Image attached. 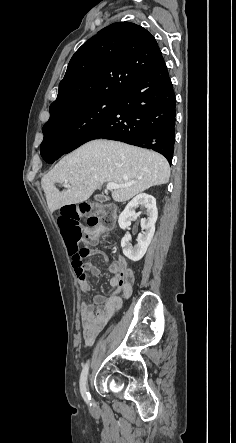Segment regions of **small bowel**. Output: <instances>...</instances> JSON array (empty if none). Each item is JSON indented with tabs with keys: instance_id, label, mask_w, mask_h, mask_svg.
Instances as JSON below:
<instances>
[{
	"instance_id": "c3829d8e",
	"label": "small bowel",
	"mask_w": 236,
	"mask_h": 443,
	"mask_svg": "<svg viewBox=\"0 0 236 443\" xmlns=\"http://www.w3.org/2000/svg\"><path fill=\"white\" fill-rule=\"evenodd\" d=\"M86 232L90 234L87 240L88 245L91 247L90 256L102 258L108 263V270L112 274L109 285L115 289L109 296H93L91 302H85L80 307L83 341L86 346H90L106 325L112 312L119 307L122 298L129 296L134 275L132 269L123 257H119L117 260L109 263L108 256L96 248L101 233L96 229H89L86 230ZM73 269L80 290L84 293H89L92 286L87 274L90 273L93 276H99L101 274L100 269L91 261L84 263L81 269Z\"/></svg>"
}]
</instances>
